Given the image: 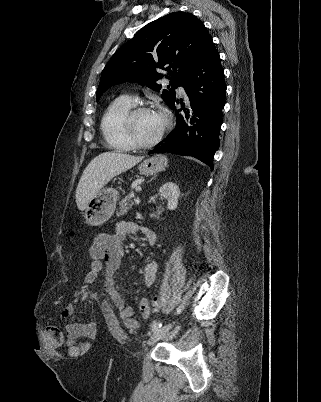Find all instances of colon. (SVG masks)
<instances>
[{"label": "colon", "instance_id": "obj_1", "mask_svg": "<svg viewBox=\"0 0 321 402\" xmlns=\"http://www.w3.org/2000/svg\"><path fill=\"white\" fill-rule=\"evenodd\" d=\"M161 307V301L157 298H154L151 303L150 310L153 312H158ZM64 339V334L58 326L54 324H48L45 326L42 335V345L45 349L57 350L61 348L64 344Z\"/></svg>", "mask_w": 321, "mask_h": 402}]
</instances>
